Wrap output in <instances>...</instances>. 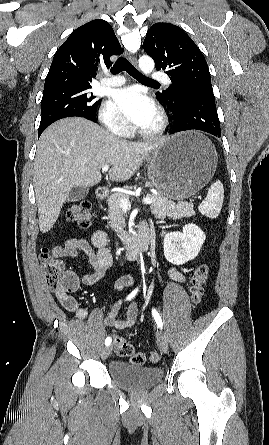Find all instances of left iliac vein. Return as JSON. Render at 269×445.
Here are the masks:
<instances>
[{
	"mask_svg": "<svg viewBox=\"0 0 269 445\" xmlns=\"http://www.w3.org/2000/svg\"><path fill=\"white\" fill-rule=\"evenodd\" d=\"M157 345H158L159 350L162 353H166L167 352V350H168V343H167L166 337L161 332L158 333Z\"/></svg>",
	"mask_w": 269,
	"mask_h": 445,
	"instance_id": "4c4485c4",
	"label": "left iliac vein"
}]
</instances>
